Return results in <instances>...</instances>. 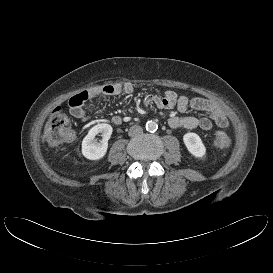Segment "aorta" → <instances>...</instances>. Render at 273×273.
<instances>
[{
    "instance_id": "aorta-1",
    "label": "aorta",
    "mask_w": 273,
    "mask_h": 273,
    "mask_svg": "<svg viewBox=\"0 0 273 273\" xmlns=\"http://www.w3.org/2000/svg\"><path fill=\"white\" fill-rule=\"evenodd\" d=\"M157 128L158 124L155 121L150 120L146 123V130L149 132H154L157 130Z\"/></svg>"
}]
</instances>
